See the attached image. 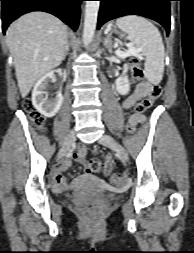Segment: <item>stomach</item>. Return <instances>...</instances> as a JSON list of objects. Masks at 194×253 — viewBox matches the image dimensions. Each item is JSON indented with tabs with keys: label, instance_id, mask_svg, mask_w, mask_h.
Listing matches in <instances>:
<instances>
[{
	"label": "stomach",
	"instance_id": "obj_1",
	"mask_svg": "<svg viewBox=\"0 0 194 253\" xmlns=\"http://www.w3.org/2000/svg\"><path fill=\"white\" fill-rule=\"evenodd\" d=\"M108 29L111 31V33L122 35V33H120L115 27H113V28L109 27Z\"/></svg>",
	"mask_w": 194,
	"mask_h": 253
}]
</instances>
